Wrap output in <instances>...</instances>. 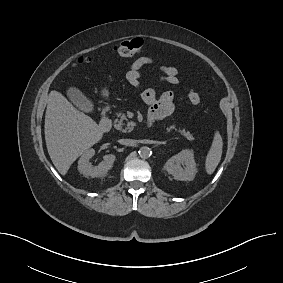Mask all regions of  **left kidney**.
<instances>
[{"label":"left kidney","instance_id":"1","mask_svg":"<svg viewBox=\"0 0 283 283\" xmlns=\"http://www.w3.org/2000/svg\"><path fill=\"white\" fill-rule=\"evenodd\" d=\"M164 169L176 180H193L197 173L193 151L189 149L182 150L165 163Z\"/></svg>","mask_w":283,"mask_h":283}]
</instances>
